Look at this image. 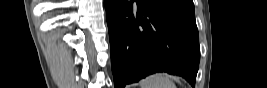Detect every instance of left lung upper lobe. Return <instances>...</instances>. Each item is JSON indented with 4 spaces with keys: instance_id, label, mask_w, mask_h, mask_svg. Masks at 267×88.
I'll return each instance as SVG.
<instances>
[{
    "instance_id": "5c2ea615",
    "label": "left lung upper lobe",
    "mask_w": 267,
    "mask_h": 88,
    "mask_svg": "<svg viewBox=\"0 0 267 88\" xmlns=\"http://www.w3.org/2000/svg\"><path fill=\"white\" fill-rule=\"evenodd\" d=\"M172 1L182 4L184 6L190 7V8H194V4L192 0H172Z\"/></svg>"
}]
</instances>
